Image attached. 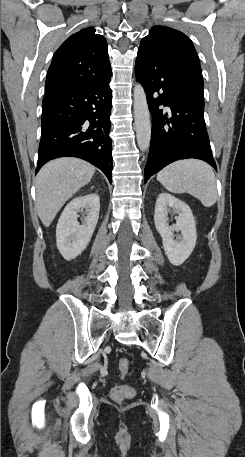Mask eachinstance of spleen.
Masks as SVG:
<instances>
[{"instance_id": "3e777b00", "label": "spleen", "mask_w": 245, "mask_h": 457, "mask_svg": "<svg viewBox=\"0 0 245 457\" xmlns=\"http://www.w3.org/2000/svg\"><path fill=\"white\" fill-rule=\"evenodd\" d=\"M157 180L170 192H190L204 206H212L218 198L214 170L204 160H176L158 172Z\"/></svg>"}]
</instances>
